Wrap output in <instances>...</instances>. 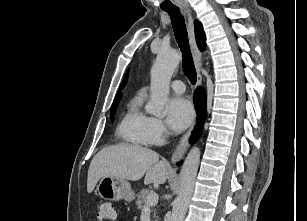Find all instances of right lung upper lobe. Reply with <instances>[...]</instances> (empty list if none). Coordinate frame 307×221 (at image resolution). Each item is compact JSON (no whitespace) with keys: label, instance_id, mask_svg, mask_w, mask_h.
<instances>
[{"label":"right lung upper lobe","instance_id":"right-lung-upper-lobe-1","mask_svg":"<svg viewBox=\"0 0 307 221\" xmlns=\"http://www.w3.org/2000/svg\"><path fill=\"white\" fill-rule=\"evenodd\" d=\"M194 25H195V34H196V40H197L198 47L201 51H203L206 47V37H205V33L203 31V26L197 20H195ZM127 78H128V73L126 74V77H125L123 83L121 84V86L119 88V92L122 90V88L126 84ZM120 96H121V94H118L115 97L114 102L119 101Z\"/></svg>","mask_w":307,"mask_h":221}]
</instances>
